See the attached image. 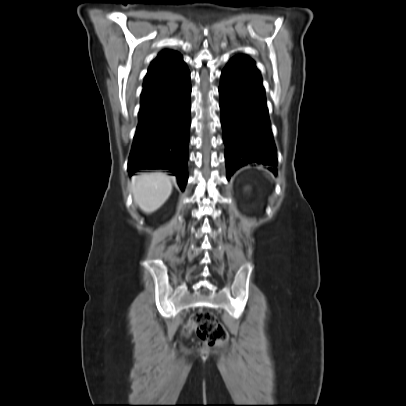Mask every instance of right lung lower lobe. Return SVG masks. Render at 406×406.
<instances>
[{"label": "right lung lower lobe", "instance_id": "1", "mask_svg": "<svg viewBox=\"0 0 406 406\" xmlns=\"http://www.w3.org/2000/svg\"><path fill=\"white\" fill-rule=\"evenodd\" d=\"M191 83L186 65L141 94L128 171L169 169L183 191L188 180Z\"/></svg>", "mask_w": 406, "mask_h": 406}]
</instances>
